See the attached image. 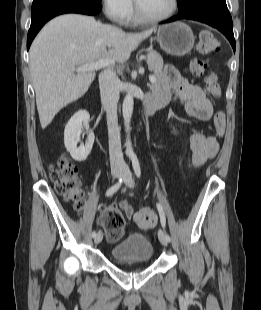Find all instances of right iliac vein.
I'll use <instances>...</instances> for the list:
<instances>
[{"label":"right iliac vein","mask_w":261,"mask_h":310,"mask_svg":"<svg viewBox=\"0 0 261 310\" xmlns=\"http://www.w3.org/2000/svg\"><path fill=\"white\" fill-rule=\"evenodd\" d=\"M111 175L114 179L119 178L122 175V170L119 168H114L111 171ZM102 239H103V233L99 231L94 237L95 244H99L102 241Z\"/></svg>","instance_id":"1"}]
</instances>
